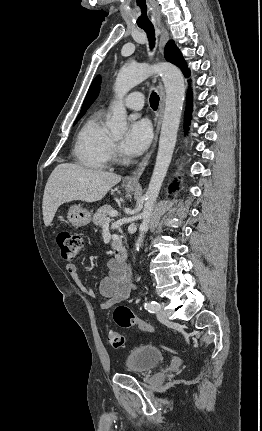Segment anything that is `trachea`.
<instances>
[{"mask_svg":"<svg viewBox=\"0 0 262 431\" xmlns=\"http://www.w3.org/2000/svg\"><path fill=\"white\" fill-rule=\"evenodd\" d=\"M136 5L142 13H145V11L147 10L145 0H136ZM140 28H142L146 32L148 40H149V46H150V49L152 50L154 48V45H155L154 27L153 26H140ZM158 104H159V96L157 95V93L152 92L151 96H150L151 108L153 110H156L158 108Z\"/></svg>","mask_w":262,"mask_h":431,"instance_id":"3493384b","label":"trachea"}]
</instances>
